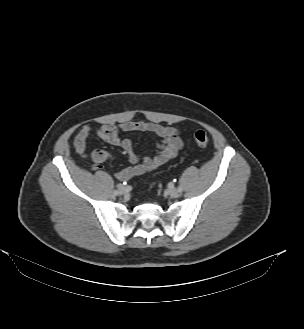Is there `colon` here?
I'll return each mask as SVG.
<instances>
[{
    "label": "colon",
    "instance_id": "obj_1",
    "mask_svg": "<svg viewBox=\"0 0 304 329\" xmlns=\"http://www.w3.org/2000/svg\"><path fill=\"white\" fill-rule=\"evenodd\" d=\"M194 140L197 145L201 147H205L209 143V137L206 132L204 131H197L194 135Z\"/></svg>",
    "mask_w": 304,
    "mask_h": 329
}]
</instances>
